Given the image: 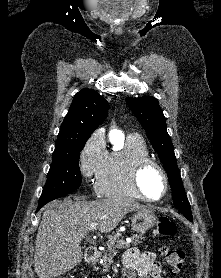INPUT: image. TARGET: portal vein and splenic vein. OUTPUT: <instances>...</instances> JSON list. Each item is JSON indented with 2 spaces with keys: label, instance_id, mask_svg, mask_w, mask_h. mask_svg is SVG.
<instances>
[{
  "label": "portal vein and splenic vein",
  "instance_id": "1",
  "mask_svg": "<svg viewBox=\"0 0 221 278\" xmlns=\"http://www.w3.org/2000/svg\"><path fill=\"white\" fill-rule=\"evenodd\" d=\"M96 227H97L96 222L91 223L90 226H89V231H94L96 229ZM120 244L125 245V244H128V243L125 242L124 240H121Z\"/></svg>",
  "mask_w": 221,
  "mask_h": 278
}]
</instances>
